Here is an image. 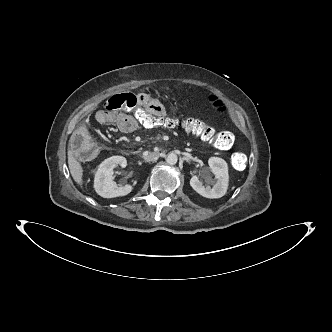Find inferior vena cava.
Returning a JSON list of instances; mask_svg holds the SVG:
<instances>
[{"label": "inferior vena cava", "instance_id": "1", "mask_svg": "<svg viewBox=\"0 0 332 332\" xmlns=\"http://www.w3.org/2000/svg\"><path fill=\"white\" fill-rule=\"evenodd\" d=\"M158 156V153L157 152H151V153H148L147 155L144 156V159L146 161H153L157 158Z\"/></svg>", "mask_w": 332, "mask_h": 332}]
</instances>
